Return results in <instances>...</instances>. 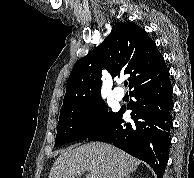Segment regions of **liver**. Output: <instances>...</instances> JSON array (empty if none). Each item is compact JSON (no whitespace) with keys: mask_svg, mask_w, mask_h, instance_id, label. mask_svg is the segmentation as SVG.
<instances>
[{"mask_svg":"<svg viewBox=\"0 0 194 178\" xmlns=\"http://www.w3.org/2000/svg\"><path fill=\"white\" fill-rule=\"evenodd\" d=\"M139 161L105 143H88L63 152L54 162L49 178H125L137 169Z\"/></svg>","mask_w":194,"mask_h":178,"instance_id":"obj_1","label":"liver"}]
</instances>
